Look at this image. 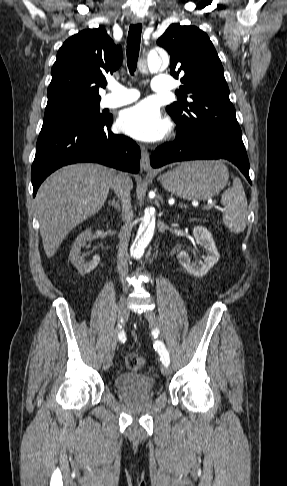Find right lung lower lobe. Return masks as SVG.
I'll use <instances>...</instances> for the list:
<instances>
[{
	"instance_id": "right-lung-lower-lobe-1",
	"label": "right lung lower lobe",
	"mask_w": 287,
	"mask_h": 486,
	"mask_svg": "<svg viewBox=\"0 0 287 486\" xmlns=\"http://www.w3.org/2000/svg\"><path fill=\"white\" fill-rule=\"evenodd\" d=\"M112 115L79 127L40 132L32 164L33 196L44 179L58 168L77 162H96L131 173L139 172L140 149L110 127Z\"/></svg>"
}]
</instances>
